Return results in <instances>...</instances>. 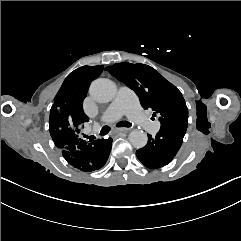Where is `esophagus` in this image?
Wrapping results in <instances>:
<instances>
[{"instance_id":"34e87169","label":"esophagus","mask_w":241,"mask_h":241,"mask_svg":"<svg viewBox=\"0 0 241 241\" xmlns=\"http://www.w3.org/2000/svg\"><path fill=\"white\" fill-rule=\"evenodd\" d=\"M129 129L128 128H118L117 130L114 131V133H118V132H128Z\"/></svg>"}]
</instances>
